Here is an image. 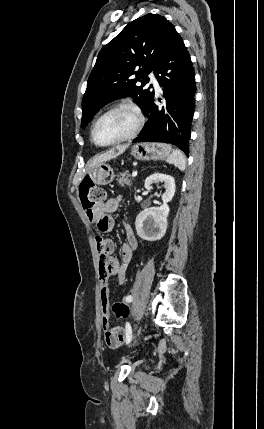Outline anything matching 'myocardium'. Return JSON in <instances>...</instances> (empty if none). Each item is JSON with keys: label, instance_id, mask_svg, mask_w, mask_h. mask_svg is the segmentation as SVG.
<instances>
[{"label": "myocardium", "instance_id": "1", "mask_svg": "<svg viewBox=\"0 0 264 429\" xmlns=\"http://www.w3.org/2000/svg\"><path fill=\"white\" fill-rule=\"evenodd\" d=\"M119 111L127 112L134 117L135 125H134L133 130L128 135H126V136H124L118 140H115V141H112V142H109L106 144L99 143L95 138V131H96V127H97L98 123L107 115L112 114L114 112H119ZM143 124H144V118H143L142 114L140 113L139 109L135 105H132L129 103L117 104V105L109 108L105 112H103L94 121L93 126H92V130H91V139H92L93 143L99 147H109V146H113L116 144H120V143L134 139L142 130Z\"/></svg>", "mask_w": 264, "mask_h": 429}]
</instances>
